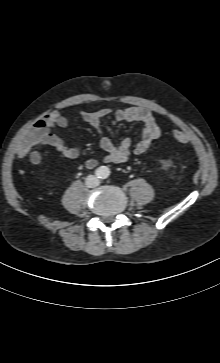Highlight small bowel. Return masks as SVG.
I'll use <instances>...</instances> for the list:
<instances>
[{
	"label": "small bowel",
	"instance_id": "c3829d8e",
	"mask_svg": "<svg viewBox=\"0 0 220 363\" xmlns=\"http://www.w3.org/2000/svg\"><path fill=\"white\" fill-rule=\"evenodd\" d=\"M113 114L116 121H129L142 124V136L138 142L132 145L129 139H123L119 144H115L102 128V120L106 116ZM82 120L92 125L101 135L100 145L105 151L104 161L106 163L120 164L125 162L131 153L142 154L148 150L153 140L161 135V128L157 124L153 114L141 107H126L123 109L112 110L110 108H102L96 111H81L79 113ZM69 121L66 117L57 112L51 113L45 119L38 121L28 132L25 140L17 149L19 157L29 155L30 161L37 165L41 161V154L38 145H48L56 149L62 156L75 159L80 155L78 146H68L65 141L52 133L56 127L68 128ZM41 133L38 140L35 139L37 133ZM88 169L97 165L96 159H89L85 162Z\"/></svg>",
	"mask_w": 220,
	"mask_h": 363
}]
</instances>
